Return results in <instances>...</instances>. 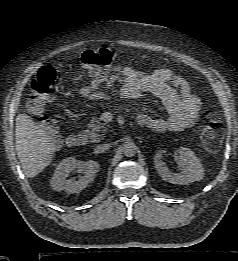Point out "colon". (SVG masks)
<instances>
[{"instance_id": "obj_1", "label": "colon", "mask_w": 238, "mask_h": 261, "mask_svg": "<svg viewBox=\"0 0 238 261\" xmlns=\"http://www.w3.org/2000/svg\"><path fill=\"white\" fill-rule=\"evenodd\" d=\"M116 58L114 50L108 47L91 48L83 52L81 62L94 77H104ZM57 92V73L50 66L42 67L31 82L28 94V108L35 114H41L46 103L53 99ZM44 128L51 134L56 133V125L48 117H41ZM224 136V125L219 120L205 116L200 137L209 150H217Z\"/></svg>"}]
</instances>
